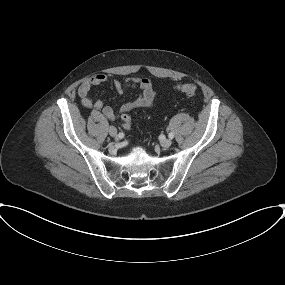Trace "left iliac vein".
I'll return each instance as SVG.
<instances>
[{
	"mask_svg": "<svg viewBox=\"0 0 285 285\" xmlns=\"http://www.w3.org/2000/svg\"><path fill=\"white\" fill-rule=\"evenodd\" d=\"M172 144V141L170 139H164L161 141V146L163 148H169Z\"/></svg>",
	"mask_w": 285,
	"mask_h": 285,
	"instance_id": "obj_1",
	"label": "left iliac vein"
}]
</instances>
